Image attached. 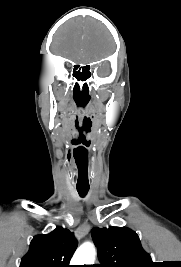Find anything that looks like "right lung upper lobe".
<instances>
[{"mask_svg": "<svg viewBox=\"0 0 181 267\" xmlns=\"http://www.w3.org/2000/svg\"><path fill=\"white\" fill-rule=\"evenodd\" d=\"M77 248L74 234L57 227L49 234L35 236L20 267H71L70 259Z\"/></svg>", "mask_w": 181, "mask_h": 267, "instance_id": "right-lung-upper-lobe-1", "label": "right lung upper lobe"}]
</instances>
